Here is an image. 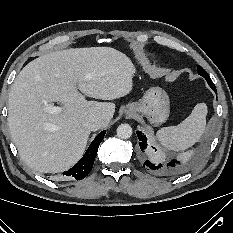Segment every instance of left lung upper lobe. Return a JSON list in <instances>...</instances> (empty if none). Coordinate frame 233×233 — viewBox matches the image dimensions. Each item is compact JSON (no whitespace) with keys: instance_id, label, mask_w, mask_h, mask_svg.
Listing matches in <instances>:
<instances>
[{"instance_id":"left-lung-upper-lobe-1","label":"left lung upper lobe","mask_w":233,"mask_h":233,"mask_svg":"<svg viewBox=\"0 0 233 233\" xmlns=\"http://www.w3.org/2000/svg\"><path fill=\"white\" fill-rule=\"evenodd\" d=\"M198 74L199 75L206 74V71L201 66H198Z\"/></svg>"}]
</instances>
